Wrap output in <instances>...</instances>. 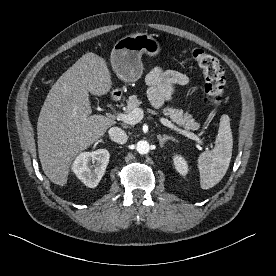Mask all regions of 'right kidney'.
Segmentation results:
<instances>
[{"label":"right kidney","mask_w":276,"mask_h":276,"mask_svg":"<svg viewBox=\"0 0 276 276\" xmlns=\"http://www.w3.org/2000/svg\"><path fill=\"white\" fill-rule=\"evenodd\" d=\"M110 154L106 149L79 154L72 165V171L88 187L94 188L103 177Z\"/></svg>","instance_id":"right-kidney-1"}]
</instances>
